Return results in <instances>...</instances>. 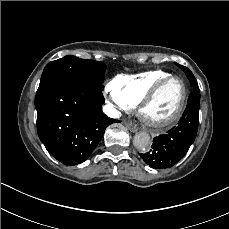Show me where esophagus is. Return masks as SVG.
I'll use <instances>...</instances> for the list:
<instances>
[{
	"label": "esophagus",
	"mask_w": 229,
	"mask_h": 229,
	"mask_svg": "<svg viewBox=\"0 0 229 229\" xmlns=\"http://www.w3.org/2000/svg\"><path fill=\"white\" fill-rule=\"evenodd\" d=\"M124 125L131 131V132H136L137 131V127L131 123V122H128V121H125L124 122Z\"/></svg>",
	"instance_id": "34e87169"
}]
</instances>
